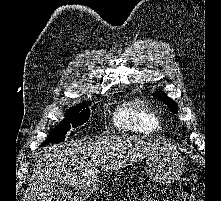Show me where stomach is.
<instances>
[{
    "label": "stomach",
    "mask_w": 221,
    "mask_h": 201,
    "mask_svg": "<svg viewBox=\"0 0 221 201\" xmlns=\"http://www.w3.org/2000/svg\"><path fill=\"white\" fill-rule=\"evenodd\" d=\"M149 178L158 182L168 184L177 180L184 171V160L181 154L175 149L158 151L148 156L145 166ZM97 186L93 184L81 192L80 198H86Z\"/></svg>",
    "instance_id": "1"
}]
</instances>
